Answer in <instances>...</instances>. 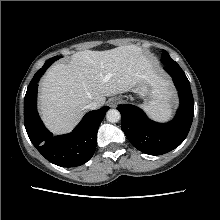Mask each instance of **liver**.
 I'll list each match as a JSON object with an SVG mask.
<instances>
[{
  "instance_id": "1",
  "label": "liver",
  "mask_w": 220,
  "mask_h": 220,
  "mask_svg": "<svg viewBox=\"0 0 220 220\" xmlns=\"http://www.w3.org/2000/svg\"><path fill=\"white\" fill-rule=\"evenodd\" d=\"M151 79V64L136 45L77 52L68 64L52 66L43 77L39 95L42 119L56 134L70 132L91 102L101 107L106 97L133 91L138 83ZM156 92L171 95L164 80H157Z\"/></svg>"
}]
</instances>
